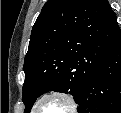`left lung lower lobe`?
<instances>
[{"instance_id": "left-lung-lower-lobe-1", "label": "left lung lower lobe", "mask_w": 121, "mask_h": 113, "mask_svg": "<svg viewBox=\"0 0 121 113\" xmlns=\"http://www.w3.org/2000/svg\"><path fill=\"white\" fill-rule=\"evenodd\" d=\"M79 113H121V30L78 97Z\"/></svg>"}]
</instances>
